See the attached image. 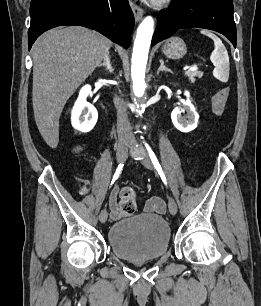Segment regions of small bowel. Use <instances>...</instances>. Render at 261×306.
<instances>
[{
    "label": "small bowel",
    "instance_id": "small-bowel-1",
    "mask_svg": "<svg viewBox=\"0 0 261 306\" xmlns=\"http://www.w3.org/2000/svg\"><path fill=\"white\" fill-rule=\"evenodd\" d=\"M80 194L84 195L88 192V188L86 186H82L79 190ZM110 208L112 218L117 219L122 216V212L118 207L116 195H112L110 199ZM166 206L165 202L161 197L154 196L150 198L145 206V210L148 212H155L159 214H163L165 212Z\"/></svg>",
    "mask_w": 261,
    "mask_h": 306
}]
</instances>
